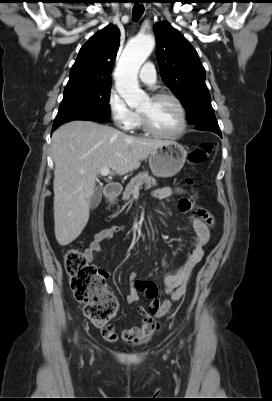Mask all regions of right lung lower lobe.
<instances>
[{
    "label": "right lung lower lobe",
    "instance_id": "1",
    "mask_svg": "<svg viewBox=\"0 0 272 401\" xmlns=\"http://www.w3.org/2000/svg\"><path fill=\"white\" fill-rule=\"evenodd\" d=\"M76 120H90V121H98V120H95V119H89V118H81V119H76ZM73 121V120H72ZM60 125H57V126H53L52 127V132L53 131H55L58 127H59Z\"/></svg>",
    "mask_w": 272,
    "mask_h": 401
}]
</instances>
